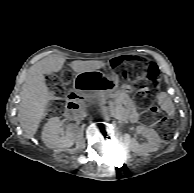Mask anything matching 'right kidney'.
<instances>
[{
	"instance_id": "ca27d5eb",
	"label": "right kidney",
	"mask_w": 194,
	"mask_h": 193,
	"mask_svg": "<svg viewBox=\"0 0 194 193\" xmlns=\"http://www.w3.org/2000/svg\"><path fill=\"white\" fill-rule=\"evenodd\" d=\"M62 123L58 117H53L45 124L42 131V141L48 148H69L74 143V132L71 127L65 134L59 135Z\"/></svg>"
}]
</instances>
